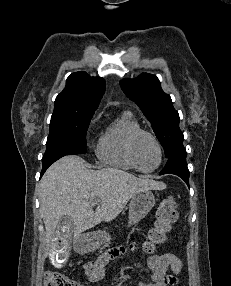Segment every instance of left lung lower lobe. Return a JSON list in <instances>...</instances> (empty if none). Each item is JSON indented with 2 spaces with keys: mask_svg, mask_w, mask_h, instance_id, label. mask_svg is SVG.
<instances>
[{
  "mask_svg": "<svg viewBox=\"0 0 231 286\" xmlns=\"http://www.w3.org/2000/svg\"><path fill=\"white\" fill-rule=\"evenodd\" d=\"M162 174H174L181 177L189 186V171L186 163V150L184 147L173 152L168 158L167 164L160 172Z\"/></svg>",
  "mask_w": 231,
  "mask_h": 286,
  "instance_id": "1",
  "label": "left lung lower lobe"
}]
</instances>
